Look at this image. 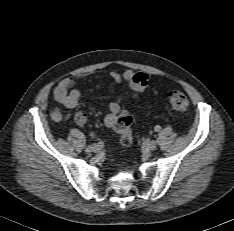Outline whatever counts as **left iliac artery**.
I'll list each match as a JSON object with an SVG mask.
<instances>
[{
  "label": "left iliac artery",
  "instance_id": "obj_1",
  "mask_svg": "<svg viewBox=\"0 0 234 231\" xmlns=\"http://www.w3.org/2000/svg\"><path fill=\"white\" fill-rule=\"evenodd\" d=\"M155 132H159L161 130V126L157 125L154 127Z\"/></svg>",
  "mask_w": 234,
  "mask_h": 231
}]
</instances>
